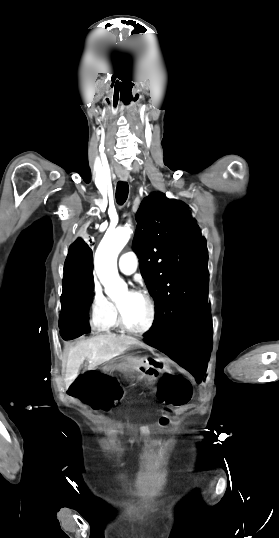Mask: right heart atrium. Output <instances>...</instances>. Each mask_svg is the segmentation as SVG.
<instances>
[{
  "label": "right heart atrium",
  "instance_id": "obj_1",
  "mask_svg": "<svg viewBox=\"0 0 279 538\" xmlns=\"http://www.w3.org/2000/svg\"><path fill=\"white\" fill-rule=\"evenodd\" d=\"M111 312V304L102 291L96 276L93 278L92 326L102 330Z\"/></svg>",
  "mask_w": 279,
  "mask_h": 538
}]
</instances>
